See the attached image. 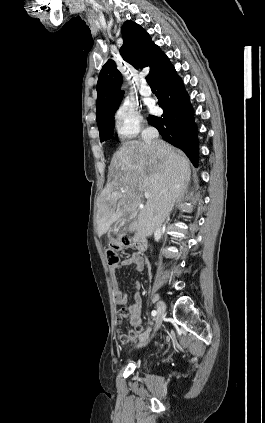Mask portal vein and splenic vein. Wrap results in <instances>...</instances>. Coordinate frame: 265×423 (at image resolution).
Segmentation results:
<instances>
[{
    "label": "portal vein and splenic vein",
    "instance_id": "1",
    "mask_svg": "<svg viewBox=\"0 0 265 423\" xmlns=\"http://www.w3.org/2000/svg\"><path fill=\"white\" fill-rule=\"evenodd\" d=\"M144 196H145L146 198H148V197H149V193H148V192H145V193H144ZM141 208H143V206H141Z\"/></svg>",
    "mask_w": 265,
    "mask_h": 423
}]
</instances>
